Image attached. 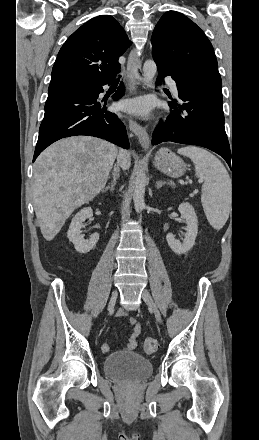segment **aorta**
<instances>
[{
	"label": "aorta",
	"mask_w": 259,
	"mask_h": 440,
	"mask_svg": "<svg viewBox=\"0 0 259 440\" xmlns=\"http://www.w3.org/2000/svg\"><path fill=\"white\" fill-rule=\"evenodd\" d=\"M157 67L153 60H147L143 66V73L148 84H151L156 74ZM146 187V175L142 170H139L135 179V190L133 194L134 207L137 213L145 207L144 194Z\"/></svg>",
	"instance_id": "aorta-1"
}]
</instances>
